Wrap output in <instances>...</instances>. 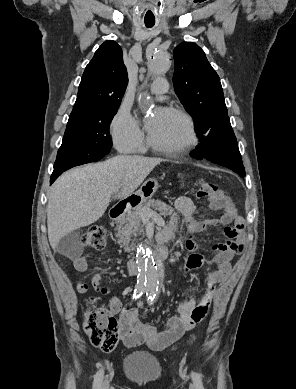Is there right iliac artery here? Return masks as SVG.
<instances>
[{
  "instance_id": "82829eb1",
  "label": "right iliac artery",
  "mask_w": 296,
  "mask_h": 389,
  "mask_svg": "<svg viewBox=\"0 0 296 389\" xmlns=\"http://www.w3.org/2000/svg\"><path fill=\"white\" fill-rule=\"evenodd\" d=\"M142 288L135 289L134 294H133V299L139 298L142 295ZM103 370H99L95 377H94V382H93V389H101L102 381H103Z\"/></svg>"
}]
</instances>
